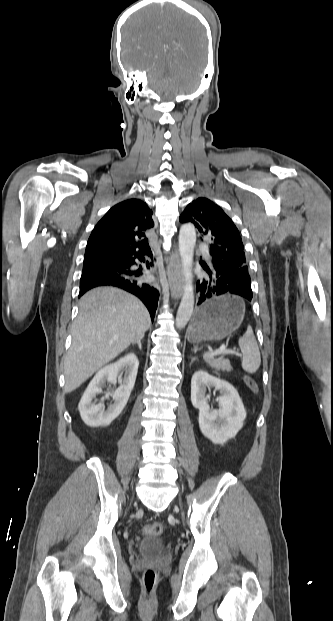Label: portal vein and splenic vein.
<instances>
[{"label":"portal vein and splenic vein","instance_id":"1","mask_svg":"<svg viewBox=\"0 0 333 621\" xmlns=\"http://www.w3.org/2000/svg\"><path fill=\"white\" fill-rule=\"evenodd\" d=\"M219 354H235L237 356L240 355L237 351L226 349L225 345H222L220 348H218L215 351H210V352L204 353L203 357L204 358L205 357H214V356L219 355Z\"/></svg>","mask_w":333,"mask_h":621}]
</instances>
